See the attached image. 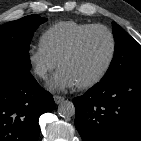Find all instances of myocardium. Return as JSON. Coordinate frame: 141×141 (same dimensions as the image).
I'll return each mask as SVG.
<instances>
[{"label": "myocardium", "mask_w": 141, "mask_h": 141, "mask_svg": "<svg viewBox=\"0 0 141 141\" xmlns=\"http://www.w3.org/2000/svg\"><path fill=\"white\" fill-rule=\"evenodd\" d=\"M95 30H102L106 32L110 38V43H111V48H110V53L107 58V61L105 62L104 66L102 69L91 79L88 81H85L80 84H76V87L78 89H88L91 88L95 85H97L99 82L103 80V78L107 75L108 71L110 70L112 63L114 61L115 55H116V48H117V43H116V38L112 32L111 29L108 27L101 25V24H94L82 32H80L74 40L71 42V44L66 48V50L61 54V56L58 59V66L60 67L62 62L66 60L68 57H70L72 54L76 52L78 47L80 46L81 42L83 39L92 31Z\"/></svg>", "instance_id": "obj_1"}]
</instances>
